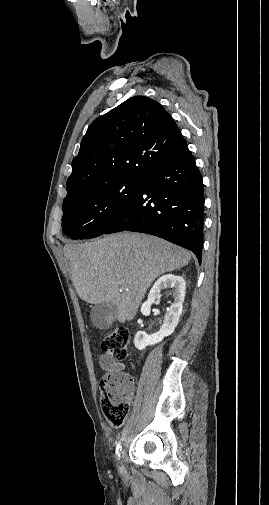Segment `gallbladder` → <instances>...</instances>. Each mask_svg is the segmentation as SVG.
Returning a JSON list of instances; mask_svg holds the SVG:
<instances>
[{"instance_id":"bac80fb5","label":"gallbladder","mask_w":269,"mask_h":505,"mask_svg":"<svg viewBox=\"0 0 269 505\" xmlns=\"http://www.w3.org/2000/svg\"><path fill=\"white\" fill-rule=\"evenodd\" d=\"M117 307L114 303L95 304L90 313L93 325L101 330L108 329L116 320Z\"/></svg>"}]
</instances>
